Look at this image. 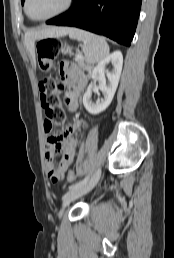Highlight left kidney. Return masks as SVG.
<instances>
[{"label": "left kidney", "mask_w": 174, "mask_h": 258, "mask_svg": "<svg viewBox=\"0 0 174 258\" xmlns=\"http://www.w3.org/2000/svg\"><path fill=\"white\" fill-rule=\"evenodd\" d=\"M111 62L113 65V70L111 72L105 71V66ZM123 56L120 51H115L111 55H108L102 59L98 65L92 71V80L99 81V86H95L92 83L88 86L87 91L83 96V104L86 110L91 114H99L104 111L112 102L114 94L116 92L119 78L122 71ZM107 75L109 84H106ZM92 89L100 90L104 94V99H98L96 103L91 100Z\"/></svg>", "instance_id": "obj_1"}]
</instances>
